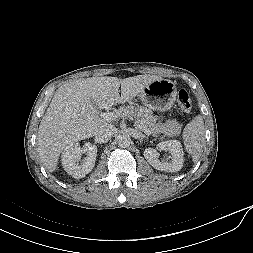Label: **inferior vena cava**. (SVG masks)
Masks as SVG:
<instances>
[{
    "label": "inferior vena cava",
    "instance_id": "1",
    "mask_svg": "<svg viewBox=\"0 0 253 253\" xmlns=\"http://www.w3.org/2000/svg\"><path fill=\"white\" fill-rule=\"evenodd\" d=\"M116 134V127L111 124L100 126L95 134L98 143H107Z\"/></svg>",
    "mask_w": 253,
    "mask_h": 253
}]
</instances>
